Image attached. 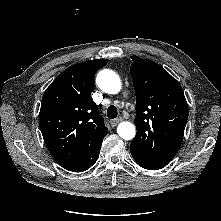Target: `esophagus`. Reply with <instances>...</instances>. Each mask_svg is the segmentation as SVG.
Instances as JSON below:
<instances>
[{
    "label": "esophagus",
    "mask_w": 221,
    "mask_h": 221,
    "mask_svg": "<svg viewBox=\"0 0 221 221\" xmlns=\"http://www.w3.org/2000/svg\"><path fill=\"white\" fill-rule=\"evenodd\" d=\"M123 121V118L119 117L111 121V125L115 127L117 124Z\"/></svg>",
    "instance_id": "obj_1"
}]
</instances>
